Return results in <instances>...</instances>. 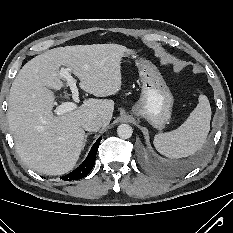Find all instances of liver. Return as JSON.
<instances>
[{
  "label": "liver",
  "mask_w": 233,
  "mask_h": 233,
  "mask_svg": "<svg viewBox=\"0 0 233 233\" xmlns=\"http://www.w3.org/2000/svg\"><path fill=\"white\" fill-rule=\"evenodd\" d=\"M126 52L119 44L58 47L20 69L10 89L7 118L16 151L29 168L46 175L70 172L85 138L82 119L93 114L107 126L113 115V100L95 98L71 112L54 115L55 96L50 89L63 87L60 67L73 72L82 90L106 97L121 89L120 61Z\"/></svg>",
  "instance_id": "liver-1"
}]
</instances>
